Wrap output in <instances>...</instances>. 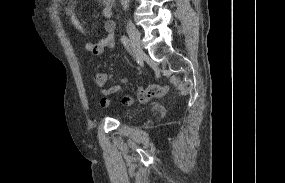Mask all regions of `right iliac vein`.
<instances>
[{
	"mask_svg": "<svg viewBox=\"0 0 285 183\" xmlns=\"http://www.w3.org/2000/svg\"><path fill=\"white\" fill-rule=\"evenodd\" d=\"M126 29L131 40L133 55L135 58H138L142 53L140 33L138 29L130 22L126 23Z\"/></svg>",
	"mask_w": 285,
	"mask_h": 183,
	"instance_id": "right-iliac-vein-1",
	"label": "right iliac vein"
}]
</instances>
